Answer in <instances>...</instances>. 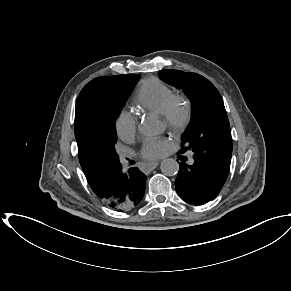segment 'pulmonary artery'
Here are the masks:
<instances>
[{"label":"pulmonary artery","instance_id":"1","mask_svg":"<svg viewBox=\"0 0 291 291\" xmlns=\"http://www.w3.org/2000/svg\"><path fill=\"white\" fill-rule=\"evenodd\" d=\"M190 163H193V159L192 158L190 159Z\"/></svg>","mask_w":291,"mask_h":291}]
</instances>
